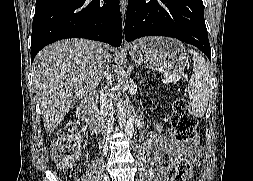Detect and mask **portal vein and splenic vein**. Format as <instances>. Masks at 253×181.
Segmentation results:
<instances>
[{
  "mask_svg": "<svg viewBox=\"0 0 253 181\" xmlns=\"http://www.w3.org/2000/svg\"><path fill=\"white\" fill-rule=\"evenodd\" d=\"M180 78H181L180 75L174 74V75L169 76L166 80H164V82H175V81H178Z\"/></svg>",
  "mask_w": 253,
  "mask_h": 181,
  "instance_id": "1",
  "label": "portal vein and splenic vein"
}]
</instances>
